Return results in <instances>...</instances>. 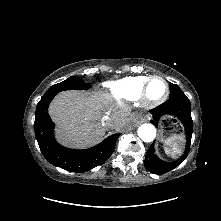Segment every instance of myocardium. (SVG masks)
Returning a JSON list of instances; mask_svg holds the SVG:
<instances>
[{
    "label": "myocardium",
    "mask_w": 221,
    "mask_h": 221,
    "mask_svg": "<svg viewBox=\"0 0 221 221\" xmlns=\"http://www.w3.org/2000/svg\"><path fill=\"white\" fill-rule=\"evenodd\" d=\"M156 79L161 80L163 82V84L165 86V92L160 98L151 99L149 97L148 91H149V87H150L151 83ZM169 94H170V87H169L168 82L163 77L158 76V75H154V76L149 77L148 80L145 82V84L142 88V91H141L140 102H141V105L145 108L156 107V106L164 103L168 99Z\"/></svg>",
    "instance_id": "myocardium-1"
}]
</instances>
